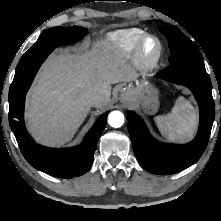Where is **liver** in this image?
I'll return each instance as SVG.
<instances>
[{"instance_id": "liver-1", "label": "liver", "mask_w": 221, "mask_h": 221, "mask_svg": "<svg viewBox=\"0 0 221 221\" xmlns=\"http://www.w3.org/2000/svg\"><path fill=\"white\" fill-rule=\"evenodd\" d=\"M134 76L124 56L103 42L91 51L52 54L27 94L29 132L42 145L66 144L90 111L87 96L98 93L96 107L103 109L110 101L111 84L129 82Z\"/></svg>"}]
</instances>
